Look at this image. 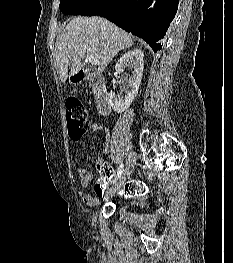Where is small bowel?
Returning a JSON list of instances; mask_svg holds the SVG:
<instances>
[{
	"mask_svg": "<svg viewBox=\"0 0 233 263\" xmlns=\"http://www.w3.org/2000/svg\"><path fill=\"white\" fill-rule=\"evenodd\" d=\"M91 130L94 132H102L104 135V144L102 147L103 153H107L109 151V144H110V130L109 128L99 122H93L91 125ZM95 164L97 166L98 171H112L110 166L102 159V158H97L95 160ZM78 174L80 176V184L83 188H86L90 185L91 181L94 178V174L89 171L87 168H79L78 169ZM130 187V186H128ZM129 191V194H132L130 190L126 189V192ZM137 192V190H136ZM104 195H90L86 193H81V198L83 202L90 207H94L98 204L99 202V197H103Z\"/></svg>",
	"mask_w": 233,
	"mask_h": 263,
	"instance_id": "small-bowel-1",
	"label": "small bowel"
}]
</instances>
